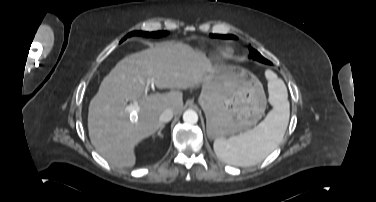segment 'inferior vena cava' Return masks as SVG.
Wrapping results in <instances>:
<instances>
[{
	"label": "inferior vena cava",
	"mask_w": 376,
	"mask_h": 202,
	"mask_svg": "<svg viewBox=\"0 0 376 202\" xmlns=\"http://www.w3.org/2000/svg\"><path fill=\"white\" fill-rule=\"evenodd\" d=\"M173 118V111L170 109H166L162 112L159 117L161 123L169 122Z\"/></svg>",
	"instance_id": "602c4592"
}]
</instances>
